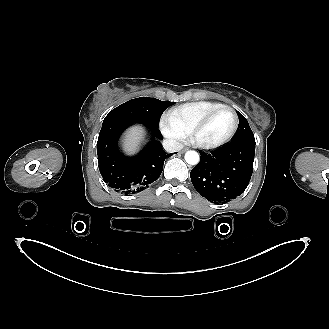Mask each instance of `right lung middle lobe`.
Instances as JSON below:
<instances>
[{"instance_id": "obj_1", "label": "right lung middle lobe", "mask_w": 329, "mask_h": 329, "mask_svg": "<svg viewBox=\"0 0 329 329\" xmlns=\"http://www.w3.org/2000/svg\"><path fill=\"white\" fill-rule=\"evenodd\" d=\"M173 104L174 102L148 97L132 99L110 111L105 117L103 125L111 122L143 123L152 128H158L163 111Z\"/></svg>"}]
</instances>
